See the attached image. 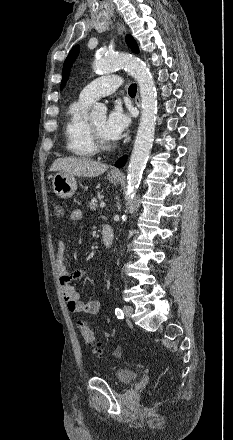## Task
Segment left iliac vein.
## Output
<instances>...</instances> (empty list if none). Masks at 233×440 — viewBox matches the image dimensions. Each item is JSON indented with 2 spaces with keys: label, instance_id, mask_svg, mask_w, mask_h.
Wrapping results in <instances>:
<instances>
[{
  "label": "left iliac vein",
  "instance_id": "obj_1",
  "mask_svg": "<svg viewBox=\"0 0 233 440\" xmlns=\"http://www.w3.org/2000/svg\"><path fill=\"white\" fill-rule=\"evenodd\" d=\"M123 311H124L125 316L127 318H130L132 313H133V308L130 305H124L123 306Z\"/></svg>",
  "mask_w": 233,
  "mask_h": 440
}]
</instances>
